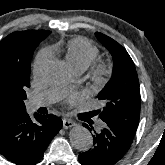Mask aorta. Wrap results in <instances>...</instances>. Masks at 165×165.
I'll list each match as a JSON object with an SVG mask.
<instances>
[{
	"label": "aorta",
	"instance_id": "1",
	"mask_svg": "<svg viewBox=\"0 0 165 165\" xmlns=\"http://www.w3.org/2000/svg\"><path fill=\"white\" fill-rule=\"evenodd\" d=\"M64 65L60 61H47L41 68L42 77L49 83L58 84L64 79ZM69 139L71 145L79 151H87L93 145V138L88 129L76 125L70 130Z\"/></svg>",
	"mask_w": 165,
	"mask_h": 165
}]
</instances>
